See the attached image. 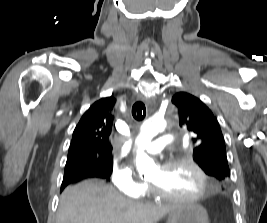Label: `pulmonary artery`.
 Returning <instances> with one entry per match:
<instances>
[{
	"instance_id": "e3ab8cb5",
	"label": "pulmonary artery",
	"mask_w": 267,
	"mask_h": 223,
	"mask_svg": "<svg viewBox=\"0 0 267 223\" xmlns=\"http://www.w3.org/2000/svg\"><path fill=\"white\" fill-rule=\"evenodd\" d=\"M172 141H173L172 135L162 134L157 138V140L154 143L146 146L144 149L149 154H156L162 151L164 147Z\"/></svg>"
}]
</instances>
